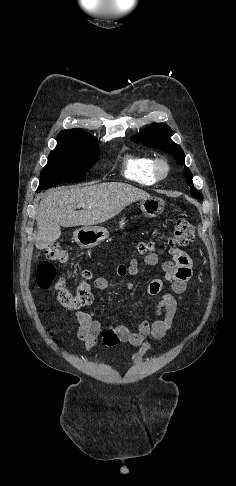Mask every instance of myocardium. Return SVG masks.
<instances>
[{
  "mask_svg": "<svg viewBox=\"0 0 236 486\" xmlns=\"http://www.w3.org/2000/svg\"><path fill=\"white\" fill-rule=\"evenodd\" d=\"M170 166L167 160L163 158H157L153 162V174L157 180L166 178L169 175Z\"/></svg>",
  "mask_w": 236,
  "mask_h": 486,
  "instance_id": "obj_1",
  "label": "myocardium"
}]
</instances>
